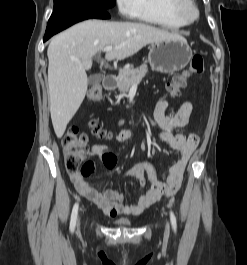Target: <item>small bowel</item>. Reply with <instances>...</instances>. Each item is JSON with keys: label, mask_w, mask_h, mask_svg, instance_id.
<instances>
[{"label": "small bowel", "mask_w": 247, "mask_h": 265, "mask_svg": "<svg viewBox=\"0 0 247 265\" xmlns=\"http://www.w3.org/2000/svg\"><path fill=\"white\" fill-rule=\"evenodd\" d=\"M167 106L168 103L161 100L154 110V120L161 129L158 135L159 141L168 145L178 154V160L170 168L166 182L157 180L152 166L147 161H141L131 166L124 176L135 179L142 192L137 202L129 205L124 203V196L118 191L109 188H95L82 175L70 176L77 192L93 202L106 216L139 215L160 199L170 197L179 190L188 161L198 146L199 137L196 134L185 135L174 132L188 124L196 103L192 100L185 101L172 116L165 114ZM131 137L132 132L126 130L115 135V140L126 142ZM89 155L99 158L103 166L108 169L116 166L115 154L103 144L94 145L90 149Z\"/></svg>", "instance_id": "small-bowel-1"}]
</instances>
